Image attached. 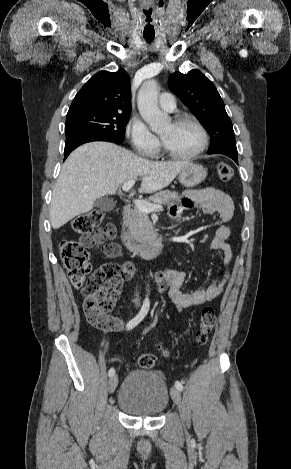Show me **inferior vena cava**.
I'll return each mask as SVG.
<instances>
[{
	"instance_id": "inferior-vena-cava-1",
	"label": "inferior vena cava",
	"mask_w": 291,
	"mask_h": 469,
	"mask_svg": "<svg viewBox=\"0 0 291 469\" xmlns=\"http://www.w3.org/2000/svg\"><path fill=\"white\" fill-rule=\"evenodd\" d=\"M139 301H140V299H139V294L136 293L135 299H134V303H135L136 305H138V304H139Z\"/></svg>"
}]
</instances>
